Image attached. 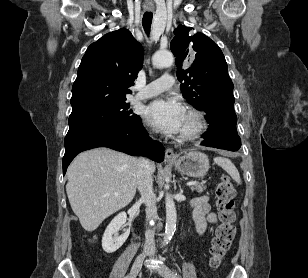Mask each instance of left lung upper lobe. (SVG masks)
<instances>
[{
  "mask_svg": "<svg viewBox=\"0 0 308 278\" xmlns=\"http://www.w3.org/2000/svg\"><path fill=\"white\" fill-rule=\"evenodd\" d=\"M190 30L179 25L170 44L183 96L194 108L204 111L221 103L234 104V85L222 51L204 34L192 35Z\"/></svg>",
  "mask_w": 308,
  "mask_h": 278,
  "instance_id": "obj_1",
  "label": "left lung upper lobe"
}]
</instances>
